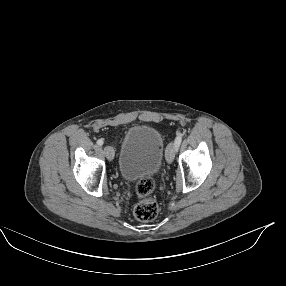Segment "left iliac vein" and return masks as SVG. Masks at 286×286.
Listing matches in <instances>:
<instances>
[{"mask_svg": "<svg viewBox=\"0 0 286 286\" xmlns=\"http://www.w3.org/2000/svg\"><path fill=\"white\" fill-rule=\"evenodd\" d=\"M177 151V147L175 143L171 142L166 149V161L171 164L174 160L175 154Z\"/></svg>", "mask_w": 286, "mask_h": 286, "instance_id": "obj_1", "label": "left iliac vein"}]
</instances>
